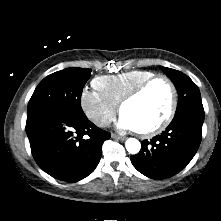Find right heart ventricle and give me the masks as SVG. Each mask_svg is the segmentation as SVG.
<instances>
[{"instance_id":"obj_1","label":"right heart ventricle","mask_w":221,"mask_h":221,"mask_svg":"<svg viewBox=\"0 0 221 221\" xmlns=\"http://www.w3.org/2000/svg\"><path fill=\"white\" fill-rule=\"evenodd\" d=\"M155 74L147 70H131L116 75H103L93 80L94 88L118 105L138 84Z\"/></svg>"}]
</instances>
